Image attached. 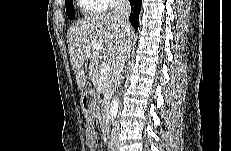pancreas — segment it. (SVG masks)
I'll use <instances>...</instances> for the list:
<instances>
[{"label": "pancreas", "mask_w": 231, "mask_h": 151, "mask_svg": "<svg viewBox=\"0 0 231 151\" xmlns=\"http://www.w3.org/2000/svg\"><path fill=\"white\" fill-rule=\"evenodd\" d=\"M93 85L104 94V103H107L112 96L113 87V74L110 72L108 75H102L100 68L96 69L95 74L92 77Z\"/></svg>", "instance_id": "obj_1"}]
</instances>
